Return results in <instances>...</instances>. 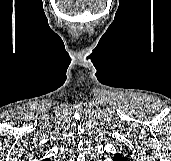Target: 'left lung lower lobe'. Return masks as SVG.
Returning a JSON list of instances; mask_svg holds the SVG:
<instances>
[{
	"instance_id": "0a47b994",
	"label": "left lung lower lobe",
	"mask_w": 171,
	"mask_h": 161,
	"mask_svg": "<svg viewBox=\"0 0 171 161\" xmlns=\"http://www.w3.org/2000/svg\"><path fill=\"white\" fill-rule=\"evenodd\" d=\"M113 161H128V158L114 156Z\"/></svg>"
}]
</instances>
